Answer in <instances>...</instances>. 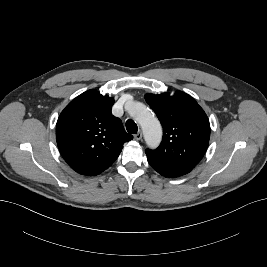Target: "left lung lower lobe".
<instances>
[{
	"instance_id": "left-lung-lower-lobe-1",
	"label": "left lung lower lobe",
	"mask_w": 267,
	"mask_h": 267,
	"mask_svg": "<svg viewBox=\"0 0 267 267\" xmlns=\"http://www.w3.org/2000/svg\"><path fill=\"white\" fill-rule=\"evenodd\" d=\"M151 167L165 177H178L189 173L192 169L165 166L148 161Z\"/></svg>"
}]
</instances>
